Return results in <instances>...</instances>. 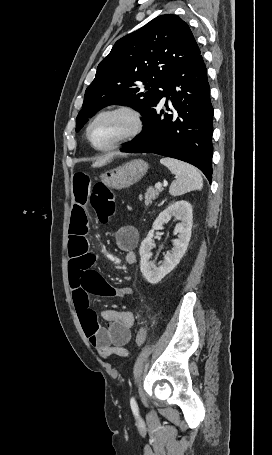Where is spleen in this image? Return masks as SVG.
<instances>
[{
  "mask_svg": "<svg viewBox=\"0 0 272 455\" xmlns=\"http://www.w3.org/2000/svg\"><path fill=\"white\" fill-rule=\"evenodd\" d=\"M160 162L175 175L176 180L171 183L169 188L172 196H180L203 188L202 176L192 165L167 157L162 158Z\"/></svg>",
  "mask_w": 272,
  "mask_h": 455,
  "instance_id": "spleen-1",
  "label": "spleen"
}]
</instances>
